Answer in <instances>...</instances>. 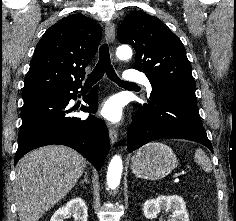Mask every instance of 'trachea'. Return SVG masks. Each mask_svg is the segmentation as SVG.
I'll list each match as a JSON object with an SVG mask.
<instances>
[{
    "label": "trachea",
    "mask_w": 236,
    "mask_h": 221,
    "mask_svg": "<svg viewBox=\"0 0 236 221\" xmlns=\"http://www.w3.org/2000/svg\"><path fill=\"white\" fill-rule=\"evenodd\" d=\"M105 73L107 74L108 78L111 81H114L115 83L119 85H132L133 84L132 82L121 80L115 73V70L110 61L109 47L106 43L101 45L99 49V61L96 64L93 71L88 75L85 85L86 86L94 85L97 81H99L104 76Z\"/></svg>",
    "instance_id": "obj_1"
}]
</instances>
